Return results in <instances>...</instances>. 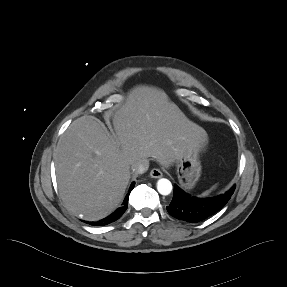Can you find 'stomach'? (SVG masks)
Returning a JSON list of instances; mask_svg holds the SVG:
<instances>
[{
    "label": "stomach",
    "mask_w": 287,
    "mask_h": 287,
    "mask_svg": "<svg viewBox=\"0 0 287 287\" xmlns=\"http://www.w3.org/2000/svg\"><path fill=\"white\" fill-rule=\"evenodd\" d=\"M200 150L201 145L190 142L175 161L179 183L186 190L194 188L201 175Z\"/></svg>",
    "instance_id": "0dacf381"
}]
</instances>
